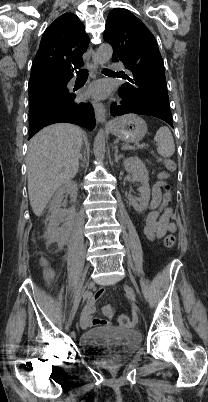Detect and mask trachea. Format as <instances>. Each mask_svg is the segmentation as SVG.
Wrapping results in <instances>:
<instances>
[{
	"label": "trachea",
	"mask_w": 208,
	"mask_h": 402,
	"mask_svg": "<svg viewBox=\"0 0 208 402\" xmlns=\"http://www.w3.org/2000/svg\"><path fill=\"white\" fill-rule=\"evenodd\" d=\"M103 72H112V70H109L108 68H104L102 70ZM88 77V71L86 69H81L77 71V78H85Z\"/></svg>",
	"instance_id": "obj_1"
}]
</instances>
